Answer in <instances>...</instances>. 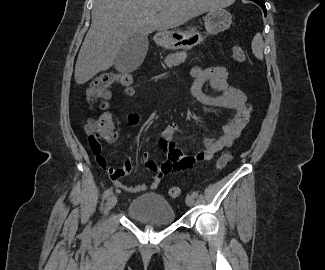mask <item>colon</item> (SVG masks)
Here are the masks:
<instances>
[{"mask_svg":"<svg viewBox=\"0 0 325 270\" xmlns=\"http://www.w3.org/2000/svg\"><path fill=\"white\" fill-rule=\"evenodd\" d=\"M232 57L240 62L246 61L244 50L239 46H233L231 49ZM121 85L125 91L130 94L132 92L133 78L130 74H118L115 72H104L95 77L86 90V96L91 104L105 110L108 107V99L111 94L109 88L114 84ZM89 146L95 155L101 153V142H110L114 139L116 133L111 116L108 113H103L98 117L91 118L85 126ZM232 158L229 152H224L217 161V168H223ZM181 194L180 188L174 186L169 189V195L172 198H177Z\"/></svg>","mask_w":325,"mask_h":270,"instance_id":"colon-1","label":"colon"}]
</instances>
